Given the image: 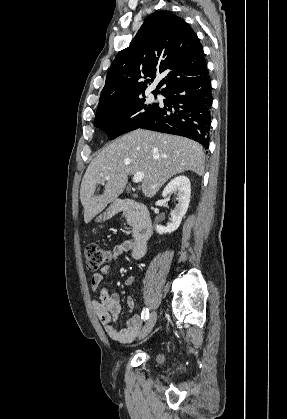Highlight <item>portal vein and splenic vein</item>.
I'll return each instance as SVG.
<instances>
[{
	"label": "portal vein and splenic vein",
	"instance_id": "1",
	"mask_svg": "<svg viewBox=\"0 0 287 419\" xmlns=\"http://www.w3.org/2000/svg\"><path fill=\"white\" fill-rule=\"evenodd\" d=\"M144 173L143 172H137V173H135L134 174V177H133V182L134 183H138V182H140V181H142L143 180V178H144ZM105 180H109V177H105Z\"/></svg>",
	"mask_w": 287,
	"mask_h": 419
}]
</instances>
